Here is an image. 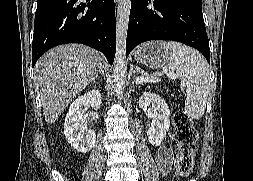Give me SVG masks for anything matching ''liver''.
Returning a JSON list of instances; mask_svg holds the SVG:
<instances>
[{
  "label": "liver",
  "mask_w": 253,
  "mask_h": 181,
  "mask_svg": "<svg viewBox=\"0 0 253 181\" xmlns=\"http://www.w3.org/2000/svg\"><path fill=\"white\" fill-rule=\"evenodd\" d=\"M103 55L81 44L47 51L35 65L34 83L47 123L58 120L70 101L103 70Z\"/></svg>",
  "instance_id": "6515ba94"
}]
</instances>
